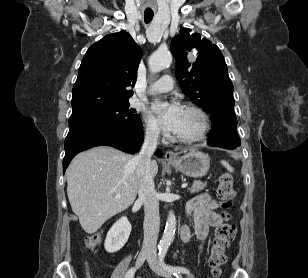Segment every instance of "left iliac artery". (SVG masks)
<instances>
[{"mask_svg": "<svg viewBox=\"0 0 308 278\" xmlns=\"http://www.w3.org/2000/svg\"><path fill=\"white\" fill-rule=\"evenodd\" d=\"M166 252H167L166 248H162L159 250L160 264L163 266L164 269H166L169 273L173 274L177 278H182L181 273L188 274V275L190 274L189 270H187L184 267H178V266L175 267V266L166 264L164 262V257L166 255Z\"/></svg>", "mask_w": 308, "mask_h": 278, "instance_id": "1", "label": "left iliac artery"}]
</instances>
